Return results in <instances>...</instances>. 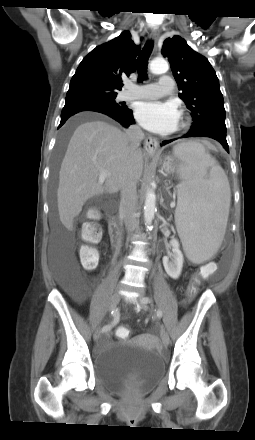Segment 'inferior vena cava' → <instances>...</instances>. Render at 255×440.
Returning <instances> with one entry per match:
<instances>
[{
  "mask_svg": "<svg viewBox=\"0 0 255 440\" xmlns=\"http://www.w3.org/2000/svg\"><path fill=\"white\" fill-rule=\"evenodd\" d=\"M125 134L129 141V150L131 154H133L139 149L140 142L144 138V133L140 127L133 125L128 128ZM137 210L136 182L130 176L125 179L121 187L119 207V212L124 218L125 227L129 236L139 228Z\"/></svg>",
  "mask_w": 255,
  "mask_h": 440,
  "instance_id": "inferior-vena-cava-1",
  "label": "inferior vena cava"
}]
</instances>
